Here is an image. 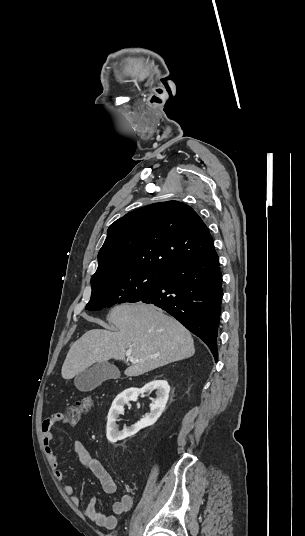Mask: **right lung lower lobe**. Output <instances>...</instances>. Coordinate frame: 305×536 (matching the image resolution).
<instances>
[{"instance_id": "98d812e1", "label": "right lung lower lobe", "mask_w": 305, "mask_h": 536, "mask_svg": "<svg viewBox=\"0 0 305 536\" xmlns=\"http://www.w3.org/2000/svg\"><path fill=\"white\" fill-rule=\"evenodd\" d=\"M222 296L219 258L213 249L200 258L169 269L162 283L138 301L166 310L200 337L217 360L216 338Z\"/></svg>"}]
</instances>
